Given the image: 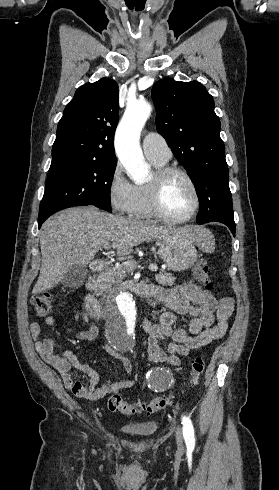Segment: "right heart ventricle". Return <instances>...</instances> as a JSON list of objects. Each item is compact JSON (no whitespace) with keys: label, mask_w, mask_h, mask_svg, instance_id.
Wrapping results in <instances>:
<instances>
[{"label":"right heart ventricle","mask_w":279,"mask_h":490,"mask_svg":"<svg viewBox=\"0 0 279 490\" xmlns=\"http://www.w3.org/2000/svg\"><path fill=\"white\" fill-rule=\"evenodd\" d=\"M156 167H162L164 164H158L155 161L150 160ZM137 193L139 197V204L132 215L136 218H150L153 217L154 214L150 205V185H140L137 186Z\"/></svg>","instance_id":"e07e8e85"}]
</instances>
